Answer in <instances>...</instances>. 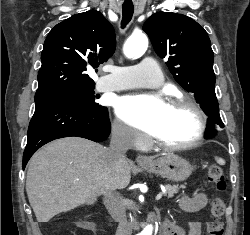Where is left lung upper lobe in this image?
Wrapping results in <instances>:
<instances>
[{"label": "left lung upper lobe", "mask_w": 250, "mask_h": 235, "mask_svg": "<svg viewBox=\"0 0 250 235\" xmlns=\"http://www.w3.org/2000/svg\"><path fill=\"white\" fill-rule=\"evenodd\" d=\"M156 53L166 62L175 80L204 109L209 120L224 127L215 94L214 55L204 28L177 13L153 14L143 25Z\"/></svg>", "instance_id": "left-lung-upper-lobe-1"}]
</instances>
